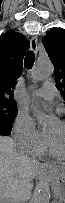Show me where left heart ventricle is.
<instances>
[{
    "label": "left heart ventricle",
    "instance_id": "1",
    "mask_svg": "<svg viewBox=\"0 0 65 203\" xmlns=\"http://www.w3.org/2000/svg\"><path fill=\"white\" fill-rule=\"evenodd\" d=\"M45 134L52 141L58 152L63 153L65 151V126L61 122L50 126Z\"/></svg>",
    "mask_w": 65,
    "mask_h": 203
}]
</instances>
